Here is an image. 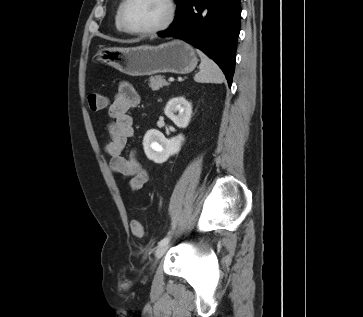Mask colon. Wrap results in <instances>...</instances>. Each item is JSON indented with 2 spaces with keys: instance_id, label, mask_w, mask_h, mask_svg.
I'll list each match as a JSON object with an SVG mask.
<instances>
[{
  "instance_id": "5ec220e1",
  "label": "colon",
  "mask_w": 363,
  "mask_h": 317,
  "mask_svg": "<svg viewBox=\"0 0 363 317\" xmlns=\"http://www.w3.org/2000/svg\"><path fill=\"white\" fill-rule=\"evenodd\" d=\"M88 104L90 110L93 112H98L103 110L107 106V98L100 93H91L88 96ZM131 231L136 236H142L144 233L143 226L138 220L133 219L131 221Z\"/></svg>"
}]
</instances>
